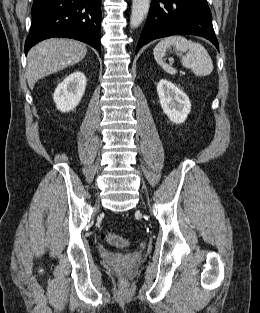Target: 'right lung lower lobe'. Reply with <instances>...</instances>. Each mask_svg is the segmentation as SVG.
Masks as SVG:
<instances>
[{"instance_id": "98d812e1", "label": "right lung lower lobe", "mask_w": 260, "mask_h": 313, "mask_svg": "<svg viewBox=\"0 0 260 313\" xmlns=\"http://www.w3.org/2000/svg\"><path fill=\"white\" fill-rule=\"evenodd\" d=\"M25 54L38 42L68 37L100 51L101 0H34Z\"/></svg>"}]
</instances>
